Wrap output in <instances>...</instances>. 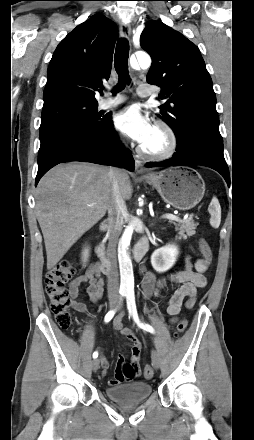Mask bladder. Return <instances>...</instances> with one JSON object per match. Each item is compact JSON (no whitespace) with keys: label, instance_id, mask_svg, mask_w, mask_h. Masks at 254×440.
I'll return each instance as SVG.
<instances>
[{"label":"bladder","instance_id":"bladder-1","mask_svg":"<svg viewBox=\"0 0 254 440\" xmlns=\"http://www.w3.org/2000/svg\"><path fill=\"white\" fill-rule=\"evenodd\" d=\"M153 388L148 382H133L106 387V395L121 404H134L145 401L152 395Z\"/></svg>","mask_w":254,"mask_h":440}]
</instances>
